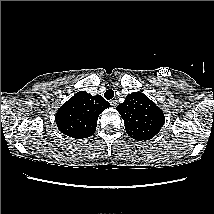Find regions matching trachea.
Masks as SVG:
<instances>
[{"instance_id":"1","label":"trachea","mask_w":214,"mask_h":214,"mask_svg":"<svg viewBox=\"0 0 214 214\" xmlns=\"http://www.w3.org/2000/svg\"><path fill=\"white\" fill-rule=\"evenodd\" d=\"M104 97L107 99V100H110L114 97V91L112 89H108L106 90V92L104 93Z\"/></svg>"}]
</instances>
